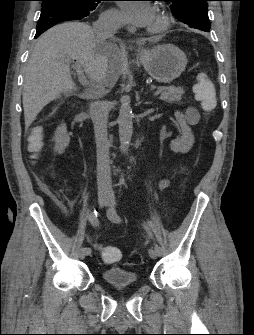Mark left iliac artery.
<instances>
[{
	"instance_id": "left-iliac-artery-1",
	"label": "left iliac artery",
	"mask_w": 254,
	"mask_h": 335,
	"mask_svg": "<svg viewBox=\"0 0 254 335\" xmlns=\"http://www.w3.org/2000/svg\"><path fill=\"white\" fill-rule=\"evenodd\" d=\"M108 215L110 216L111 220H113L114 222H121L122 221V218L119 216V214L116 212L115 209H109L108 210ZM145 229L147 231V234H148L149 238L152 241V245H153L154 250L156 251V253L158 255H161L163 253L162 247L156 242L151 230L147 226H145Z\"/></svg>"
}]
</instances>
